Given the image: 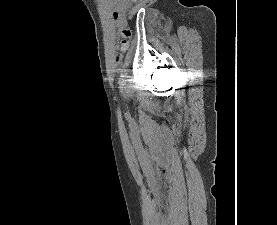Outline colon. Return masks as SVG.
<instances>
[{
	"instance_id": "colon-1",
	"label": "colon",
	"mask_w": 277,
	"mask_h": 225,
	"mask_svg": "<svg viewBox=\"0 0 277 225\" xmlns=\"http://www.w3.org/2000/svg\"><path fill=\"white\" fill-rule=\"evenodd\" d=\"M130 1L132 3L138 2V0H130ZM123 35H124V38L118 46V51L116 54V61H119L121 59V57L123 56V54L125 53V51L128 49L129 44H128L127 38H129V36L131 35L130 29H123Z\"/></svg>"
}]
</instances>
